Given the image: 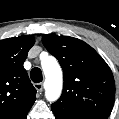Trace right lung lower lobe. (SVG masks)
<instances>
[{"label": "right lung lower lobe", "mask_w": 119, "mask_h": 119, "mask_svg": "<svg viewBox=\"0 0 119 119\" xmlns=\"http://www.w3.org/2000/svg\"><path fill=\"white\" fill-rule=\"evenodd\" d=\"M28 112H29V111H28ZM28 112H26L20 119H26Z\"/></svg>", "instance_id": "obj_1"}]
</instances>
